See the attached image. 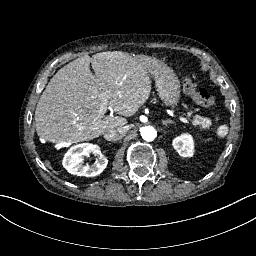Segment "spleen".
Listing matches in <instances>:
<instances>
[{
    "label": "spleen",
    "instance_id": "1",
    "mask_svg": "<svg viewBox=\"0 0 256 256\" xmlns=\"http://www.w3.org/2000/svg\"><path fill=\"white\" fill-rule=\"evenodd\" d=\"M214 133L217 138L224 139L227 137L229 133V126L228 124H221L214 128Z\"/></svg>",
    "mask_w": 256,
    "mask_h": 256
}]
</instances>
